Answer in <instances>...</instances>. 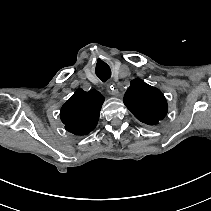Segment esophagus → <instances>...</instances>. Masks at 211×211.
Instances as JSON below:
<instances>
[{"mask_svg":"<svg viewBox=\"0 0 211 211\" xmlns=\"http://www.w3.org/2000/svg\"><path fill=\"white\" fill-rule=\"evenodd\" d=\"M107 92L109 93V94H111V95H114V96H118L120 93H119V90L116 88V87H114V89L112 90L111 88H110V85L108 84L107 85Z\"/></svg>","mask_w":211,"mask_h":211,"instance_id":"obj_1","label":"esophagus"}]
</instances>
